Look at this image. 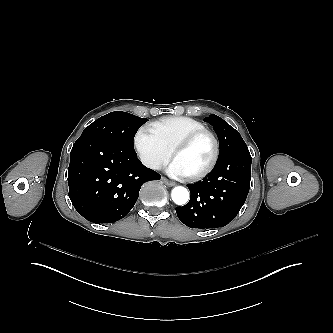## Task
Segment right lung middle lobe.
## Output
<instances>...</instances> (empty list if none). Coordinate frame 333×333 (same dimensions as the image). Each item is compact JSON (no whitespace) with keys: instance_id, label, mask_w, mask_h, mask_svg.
Segmentation results:
<instances>
[{"instance_id":"right-lung-middle-lobe-1","label":"right lung middle lobe","mask_w":333,"mask_h":333,"mask_svg":"<svg viewBox=\"0 0 333 333\" xmlns=\"http://www.w3.org/2000/svg\"><path fill=\"white\" fill-rule=\"evenodd\" d=\"M146 121V118H140L123 111H114L87 126L80 137L96 135L119 144L128 152H135L134 136Z\"/></svg>"}]
</instances>
